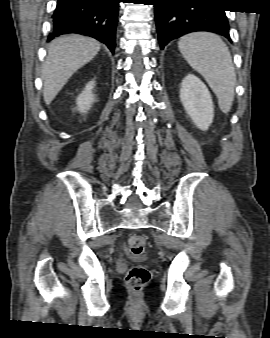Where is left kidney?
Masks as SVG:
<instances>
[{"mask_svg":"<svg viewBox=\"0 0 270 338\" xmlns=\"http://www.w3.org/2000/svg\"><path fill=\"white\" fill-rule=\"evenodd\" d=\"M180 100L193 123L207 130L213 122L214 107L206 85L195 75L188 74L181 83Z\"/></svg>","mask_w":270,"mask_h":338,"instance_id":"left-kidney-1","label":"left kidney"}]
</instances>
